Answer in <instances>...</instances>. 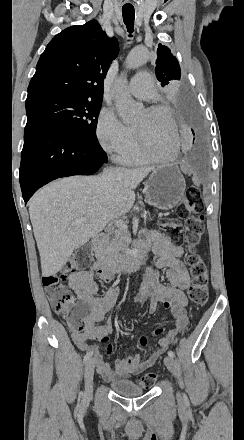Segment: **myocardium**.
<instances>
[{
	"mask_svg": "<svg viewBox=\"0 0 244 440\" xmlns=\"http://www.w3.org/2000/svg\"><path fill=\"white\" fill-rule=\"evenodd\" d=\"M146 111H151V110H158V111H168L167 113L168 118H169V126L171 127L169 129L170 132V155L167 157H159V158H155V162L160 164V165H170L175 159H176V144H177V134H176V129L174 126L175 123V118H174V114L172 110H169L168 107L166 105H160V104H156V105H151L148 106L146 109ZM136 132L140 135L139 139L137 140L139 142V147H144V132L139 131L138 129H136ZM151 148H155V149H161L163 150V147L161 144H159L158 146H149ZM152 154L155 152L153 149L150 151ZM152 159L153 156H152Z\"/></svg>",
	"mask_w": 244,
	"mask_h": 440,
	"instance_id": "1",
	"label": "myocardium"
}]
</instances>
